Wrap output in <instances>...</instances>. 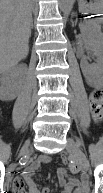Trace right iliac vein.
<instances>
[{
    "instance_id": "63e3f726",
    "label": "right iliac vein",
    "mask_w": 103,
    "mask_h": 193,
    "mask_svg": "<svg viewBox=\"0 0 103 193\" xmlns=\"http://www.w3.org/2000/svg\"><path fill=\"white\" fill-rule=\"evenodd\" d=\"M28 146H29V144H25L22 147L21 152H20V156L23 155L28 150Z\"/></svg>"
}]
</instances>
